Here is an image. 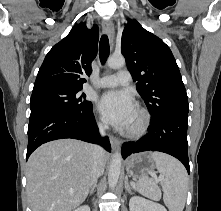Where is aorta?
<instances>
[{
  "instance_id": "1",
  "label": "aorta",
  "mask_w": 221,
  "mask_h": 211,
  "mask_svg": "<svg viewBox=\"0 0 221 211\" xmlns=\"http://www.w3.org/2000/svg\"><path fill=\"white\" fill-rule=\"evenodd\" d=\"M108 67L111 69H119L124 67L125 65V59L122 56L116 57L112 56L109 57L107 60ZM121 165H122V155L120 151H116L110 161V167H109V173H108V182L109 187L114 188L117 185L120 171H121Z\"/></svg>"
}]
</instances>
